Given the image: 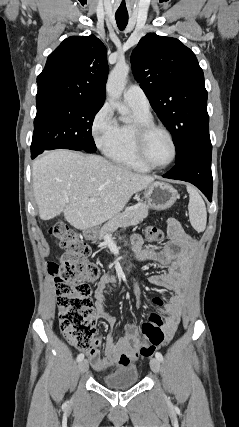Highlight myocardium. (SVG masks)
I'll return each mask as SVG.
<instances>
[{
  "mask_svg": "<svg viewBox=\"0 0 239 427\" xmlns=\"http://www.w3.org/2000/svg\"><path fill=\"white\" fill-rule=\"evenodd\" d=\"M157 131L164 133L168 137L172 145V157L167 163L163 165L153 164L152 162H150V160L146 155V147H147L148 140L150 136ZM134 132H135L134 139H135V148H136L137 156L140 159V161L144 165H146L148 168L154 169V170L164 169L170 166L175 161L177 157V144L173 135L168 129H166L161 125L155 124L154 122H137L134 126Z\"/></svg>",
  "mask_w": 239,
  "mask_h": 427,
  "instance_id": "1",
  "label": "myocardium"
}]
</instances>
